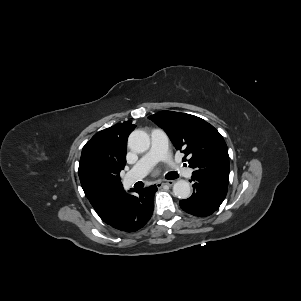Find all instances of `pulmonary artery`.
<instances>
[{"label": "pulmonary artery", "mask_w": 301, "mask_h": 301, "mask_svg": "<svg viewBox=\"0 0 301 301\" xmlns=\"http://www.w3.org/2000/svg\"><path fill=\"white\" fill-rule=\"evenodd\" d=\"M168 157V137L166 133L161 129L152 130L151 147L149 151L137 162V164L125 175V186H130L141 180L158 161L167 160ZM175 170L187 177L192 175L191 169H183L176 166Z\"/></svg>", "instance_id": "e3ab8cb5"}]
</instances>
